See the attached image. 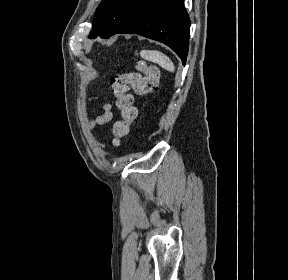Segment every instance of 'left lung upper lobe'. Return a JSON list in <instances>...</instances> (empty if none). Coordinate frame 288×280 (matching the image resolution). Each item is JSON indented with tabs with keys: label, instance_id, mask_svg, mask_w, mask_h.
Returning <instances> with one entry per match:
<instances>
[{
	"label": "left lung upper lobe",
	"instance_id": "5c2ea615",
	"mask_svg": "<svg viewBox=\"0 0 288 280\" xmlns=\"http://www.w3.org/2000/svg\"><path fill=\"white\" fill-rule=\"evenodd\" d=\"M141 0H103L98 7L89 37L109 38L124 17Z\"/></svg>",
	"mask_w": 288,
	"mask_h": 280
}]
</instances>
